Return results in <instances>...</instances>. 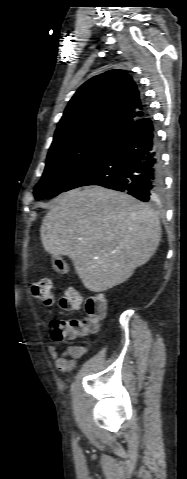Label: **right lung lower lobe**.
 Segmentation results:
<instances>
[{"label":"right lung lower lobe","instance_id":"98d812e1","mask_svg":"<svg viewBox=\"0 0 187 479\" xmlns=\"http://www.w3.org/2000/svg\"><path fill=\"white\" fill-rule=\"evenodd\" d=\"M87 185L126 191L144 202L159 199L164 178L159 141L146 115L134 121L92 163L79 172L63 192Z\"/></svg>","mask_w":187,"mask_h":479}]
</instances>
